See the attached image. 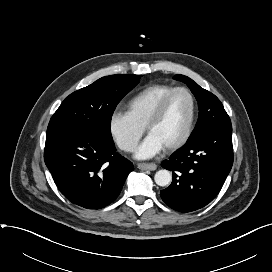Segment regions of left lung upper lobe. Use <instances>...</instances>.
<instances>
[{"label":"left lung upper lobe","instance_id":"1","mask_svg":"<svg viewBox=\"0 0 272 272\" xmlns=\"http://www.w3.org/2000/svg\"><path fill=\"white\" fill-rule=\"evenodd\" d=\"M174 79L187 84L198 101L199 119L190 137L214 127L231 125L222 103L214 94L184 75H175Z\"/></svg>","mask_w":272,"mask_h":272}]
</instances>
